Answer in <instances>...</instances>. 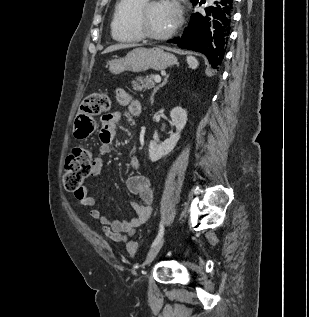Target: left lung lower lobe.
<instances>
[{"instance_id":"0a47b994","label":"left lung lower lobe","mask_w":309,"mask_h":317,"mask_svg":"<svg viewBox=\"0 0 309 317\" xmlns=\"http://www.w3.org/2000/svg\"><path fill=\"white\" fill-rule=\"evenodd\" d=\"M235 0H213L203 13H193L180 38L169 40L178 47L204 54L213 68L224 59Z\"/></svg>"}]
</instances>
